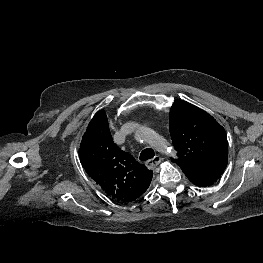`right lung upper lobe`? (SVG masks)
Segmentation results:
<instances>
[{"label": "right lung upper lobe", "instance_id": "obj_1", "mask_svg": "<svg viewBox=\"0 0 263 263\" xmlns=\"http://www.w3.org/2000/svg\"><path fill=\"white\" fill-rule=\"evenodd\" d=\"M79 152L87 174L112 199L132 202L148 189L153 172L113 142L104 110L90 121Z\"/></svg>", "mask_w": 263, "mask_h": 263}]
</instances>
